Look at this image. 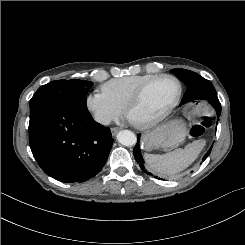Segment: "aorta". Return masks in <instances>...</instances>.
Listing matches in <instances>:
<instances>
[{"mask_svg":"<svg viewBox=\"0 0 245 245\" xmlns=\"http://www.w3.org/2000/svg\"><path fill=\"white\" fill-rule=\"evenodd\" d=\"M117 140L124 146H132L136 144V135L129 130H122L117 134Z\"/></svg>","mask_w":245,"mask_h":245,"instance_id":"aorta-1","label":"aorta"}]
</instances>
